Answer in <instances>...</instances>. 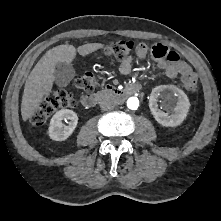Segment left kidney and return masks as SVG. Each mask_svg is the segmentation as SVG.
Wrapping results in <instances>:
<instances>
[{
	"label": "left kidney",
	"instance_id": "obj_1",
	"mask_svg": "<svg viewBox=\"0 0 221 221\" xmlns=\"http://www.w3.org/2000/svg\"><path fill=\"white\" fill-rule=\"evenodd\" d=\"M163 98L162 106L168 112H174L169 115L162 111L158 106V99ZM176 103V105H175ZM150 111L155 120L162 126L175 127L180 125L187 117L190 102L187 95L174 85H161L155 87L150 95Z\"/></svg>",
	"mask_w": 221,
	"mask_h": 221
}]
</instances>
